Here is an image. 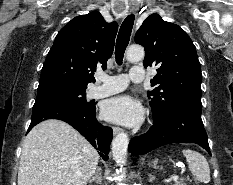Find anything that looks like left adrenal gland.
I'll return each mask as SVG.
<instances>
[{
  "label": "left adrenal gland",
  "mask_w": 233,
  "mask_h": 185,
  "mask_svg": "<svg viewBox=\"0 0 233 185\" xmlns=\"http://www.w3.org/2000/svg\"><path fill=\"white\" fill-rule=\"evenodd\" d=\"M148 176H149V181L151 182L154 179V177L151 174H148Z\"/></svg>",
  "instance_id": "left-adrenal-gland-1"
}]
</instances>
